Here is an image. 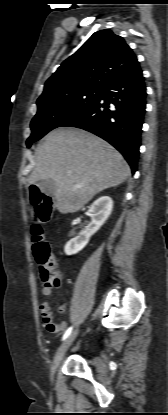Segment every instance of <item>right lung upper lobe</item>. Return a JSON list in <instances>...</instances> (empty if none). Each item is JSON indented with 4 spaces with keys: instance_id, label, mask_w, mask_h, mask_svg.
I'll return each instance as SVG.
<instances>
[{
    "instance_id": "right-lung-upper-lobe-1",
    "label": "right lung upper lobe",
    "mask_w": 168,
    "mask_h": 415,
    "mask_svg": "<svg viewBox=\"0 0 168 415\" xmlns=\"http://www.w3.org/2000/svg\"><path fill=\"white\" fill-rule=\"evenodd\" d=\"M138 64L125 40L105 29L95 32L46 81L37 104L84 89H103Z\"/></svg>"
}]
</instances>
